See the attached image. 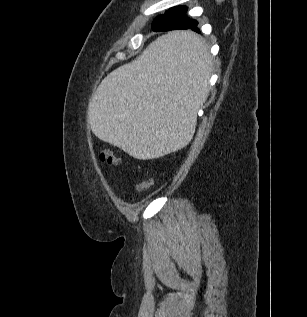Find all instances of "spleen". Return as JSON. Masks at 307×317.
Here are the masks:
<instances>
[{"mask_svg":"<svg viewBox=\"0 0 307 317\" xmlns=\"http://www.w3.org/2000/svg\"><path fill=\"white\" fill-rule=\"evenodd\" d=\"M96 91L91 129L136 160H162L192 137L208 95L209 42L195 29H168Z\"/></svg>","mask_w":307,"mask_h":317,"instance_id":"3e777b00","label":"spleen"}]
</instances>
